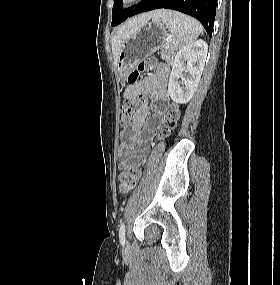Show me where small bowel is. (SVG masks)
I'll list each match as a JSON object with an SVG mask.
<instances>
[{"label":"small bowel","mask_w":280,"mask_h":285,"mask_svg":"<svg viewBox=\"0 0 280 285\" xmlns=\"http://www.w3.org/2000/svg\"><path fill=\"white\" fill-rule=\"evenodd\" d=\"M169 70L165 68L159 76L147 75L139 83L130 85L124 92V97L130 99L137 94L148 93L149 99L136 112L132 124L134 129H125L121 134L119 148L120 166L127 165L136 155L145 150L151 141L154 127L148 125L150 115L149 105L155 104V116H162L168 109L167 82Z\"/></svg>","instance_id":"small-bowel-1"}]
</instances>
